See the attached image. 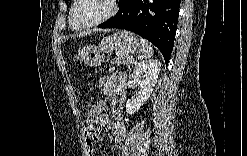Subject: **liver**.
I'll return each mask as SVG.
<instances>
[{
  "instance_id": "1",
  "label": "liver",
  "mask_w": 247,
  "mask_h": 156,
  "mask_svg": "<svg viewBox=\"0 0 247 156\" xmlns=\"http://www.w3.org/2000/svg\"><path fill=\"white\" fill-rule=\"evenodd\" d=\"M89 32H84V33H82V35H86V34H88Z\"/></svg>"
}]
</instances>
